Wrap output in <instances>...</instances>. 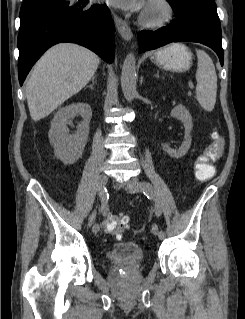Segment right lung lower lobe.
Segmentation results:
<instances>
[{"mask_svg":"<svg viewBox=\"0 0 245 319\" xmlns=\"http://www.w3.org/2000/svg\"><path fill=\"white\" fill-rule=\"evenodd\" d=\"M20 20V85L39 57L59 42L83 45L106 62H113L114 27L106 5H90L89 0H25Z\"/></svg>","mask_w":245,"mask_h":319,"instance_id":"1","label":"right lung lower lobe"}]
</instances>
